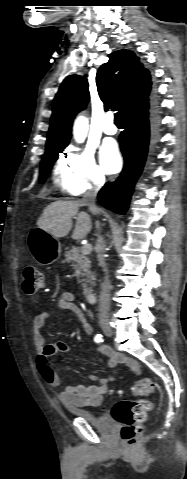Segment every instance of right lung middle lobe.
I'll list each match as a JSON object with an SVG mask.
<instances>
[{"mask_svg":"<svg viewBox=\"0 0 187 479\" xmlns=\"http://www.w3.org/2000/svg\"><path fill=\"white\" fill-rule=\"evenodd\" d=\"M63 149L64 148L51 149L46 151L41 162L40 183H43L46 180V177L51 170L53 163L58 159L59 154L63 151Z\"/></svg>","mask_w":187,"mask_h":479,"instance_id":"dd1d6c3e","label":"right lung middle lobe"}]
</instances>
